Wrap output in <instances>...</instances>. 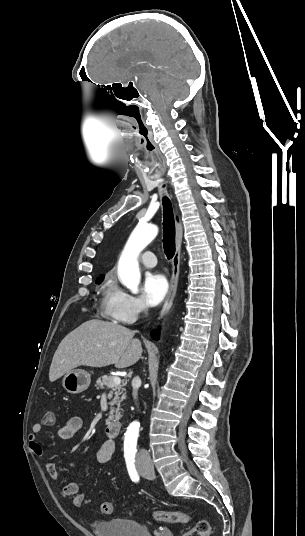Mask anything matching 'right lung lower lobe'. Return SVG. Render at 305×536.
I'll return each instance as SVG.
<instances>
[{
    "label": "right lung lower lobe",
    "mask_w": 305,
    "mask_h": 536,
    "mask_svg": "<svg viewBox=\"0 0 305 536\" xmlns=\"http://www.w3.org/2000/svg\"><path fill=\"white\" fill-rule=\"evenodd\" d=\"M151 336L154 338V339H158L159 338V331L158 330H154L152 333H151Z\"/></svg>",
    "instance_id": "1"
}]
</instances>
